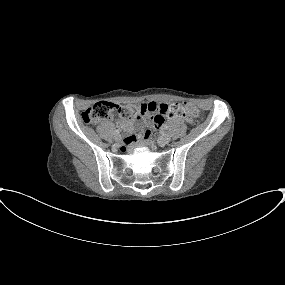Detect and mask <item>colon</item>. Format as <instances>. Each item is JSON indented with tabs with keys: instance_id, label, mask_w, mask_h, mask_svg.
Here are the masks:
<instances>
[{
	"instance_id": "1",
	"label": "colon",
	"mask_w": 285,
	"mask_h": 285,
	"mask_svg": "<svg viewBox=\"0 0 285 285\" xmlns=\"http://www.w3.org/2000/svg\"><path fill=\"white\" fill-rule=\"evenodd\" d=\"M116 113L118 117L131 119L138 115L147 113V108L143 105L138 106H117L110 102H97L89 106L82 113V120L86 124H96L100 121L107 120ZM199 115V110L186 102H176L168 106L165 112V118L177 117H195ZM131 138H127L126 142H130Z\"/></svg>"
}]
</instances>
